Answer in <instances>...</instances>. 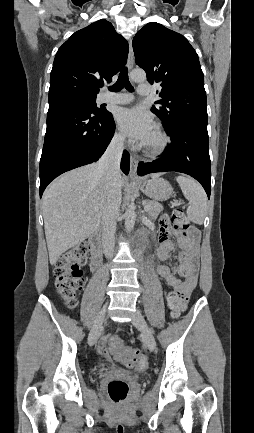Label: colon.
Segmentation results:
<instances>
[{
    "instance_id": "5ec220e1",
    "label": "colon",
    "mask_w": 254,
    "mask_h": 433,
    "mask_svg": "<svg viewBox=\"0 0 254 433\" xmlns=\"http://www.w3.org/2000/svg\"><path fill=\"white\" fill-rule=\"evenodd\" d=\"M169 220L176 229H182L184 233L190 236L197 235L196 229L190 225L183 209L175 208ZM86 254V245L67 250L59 258L53 271L57 293L70 308L77 305V294L84 285L81 265L86 259ZM168 306L172 311V315L178 317L184 310L185 303L177 293L172 292L168 296ZM111 344L119 351L121 350V343L118 338H112ZM120 359L125 365L136 370H144L147 365L145 356L138 350L137 352L124 351ZM129 392V385L121 380H112L107 386L108 396L115 403L124 401Z\"/></svg>"
}]
</instances>
